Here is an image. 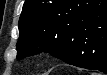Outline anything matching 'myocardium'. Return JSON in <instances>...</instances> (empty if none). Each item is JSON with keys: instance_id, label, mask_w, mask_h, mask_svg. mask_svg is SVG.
I'll use <instances>...</instances> for the list:
<instances>
[{"instance_id": "obj_1", "label": "myocardium", "mask_w": 107, "mask_h": 75, "mask_svg": "<svg viewBox=\"0 0 107 75\" xmlns=\"http://www.w3.org/2000/svg\"><path fill=\"white\" fill-rule=\"evenodd\" d=\"M35 58L38 59V60H40V59L43 58V56L41 54H36Z\"/></svg>"}]
</instances>
